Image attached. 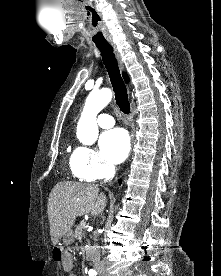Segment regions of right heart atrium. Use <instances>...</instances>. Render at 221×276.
I'll return each instance as SVG.
<instances>
[{
  "label": "right heart atrium",
  "instance_id": "right-heart-atrium-1",
  "mask_svg": "<svg viewBox=\"0 0 221 276\" xmlns=\"http://www.w3.org/2000/svg\"><path fill=\"white\" fill-rule=\"evenodd\" d=\"M73 164L79 177L93 181L110 175L113 167L93 148L81 146L73 154Z\"/></svg>",
  "mask_w": 221,
  "mask_h": 276
}]
</instances>
